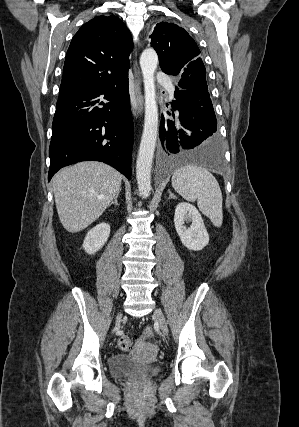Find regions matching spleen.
Returning a JSON list of instances; mask_svg holds the SVG:
<instances>
[{
  "mask_svg": "<svg viewBox=\"0 0 299 427\" xmlns=\"http://www.w3.org/2000/svg\"><path fill=\"white\" fill-rule=\"evenodd\" d=\"M173 188L187 201H197L200 211L214 226L223 222L222 192L216 178L205 168L187 165L177 169L171 179Z\"/></svg>",
  "mask_w": 299,
  "mask_h": 427,
  "instance_id": "spleen-1",
  "label": "spleen"
}]
</instances>
